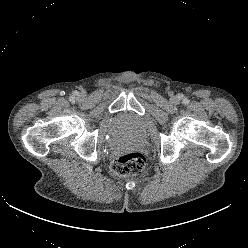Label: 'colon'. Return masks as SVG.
<instances>
[{
    "label": "colon",
    "instance_id": "1",
    "mask_svg": "<svg viewBox=\"0 0 248 248\" xmlns=\"http://www.w3.org/2000/svg\"><path fill=\"white\" fill-rule=\"evenodd\" d=\"M145 157L139 152H129L118 155L112 161L111 170L118 176L135 175L143 170Z\"/></svg>",
    "mask_w": 248,
    "mask_h": 248
}]
</instances>
